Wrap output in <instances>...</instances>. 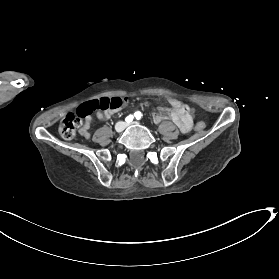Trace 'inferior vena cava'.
<instances>
[{
    "label": "inferior vena cava",
    "instance_id": "1",
    "mask_svg": "<svg viewBox=\"0 0 279 279\" xmlns=\"http://www.w3.org/2000/svg\"><path fill=\"white\" fill-rule=\"evenodd\" d=\"M129 125L128 122H118L115 126V129L117 132H121L125 129V127Z\"/></svg>",
    "mask_w": 279,
    "mask_h": 279
}]
</instances>
